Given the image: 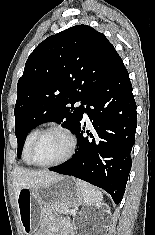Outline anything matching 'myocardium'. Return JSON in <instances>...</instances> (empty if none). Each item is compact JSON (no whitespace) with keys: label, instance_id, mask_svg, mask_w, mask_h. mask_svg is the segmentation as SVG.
Instances as JSON below:
<instances>
[{"label":"myocardium","instance_id":"f54148a6","mask_svg":"<svg viewBox=\"0 0 155 235\" xmlns=\"http://www.w3.org/2000/svg\"><path fill=\"white\" fill-rule=\"evenodd\" d=\"M52 131L61 132L67 137V139L69 141L68 152L66 153V155L63 158H61L58 161H55L52 163H46V164L38 163L34 160V157H33L34 148H35L36 144L38 143V141L45 134L52 132ZM76 148H77V138H76L75 134L73 133V131L65 125L52 124V125H49L43 129H41L40 132L33 139L32 143L29 147V150H28V158H29L30 162L32 163V165H35L38 167H44V168L56 167V166H59V165H62L64 163L68 162L75 154Z\"/></svg>","mask_w":155,"mask_h":235}]
</instances>
